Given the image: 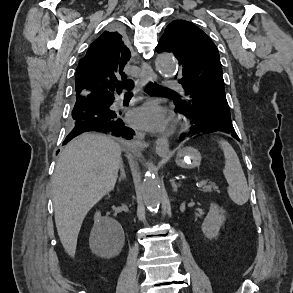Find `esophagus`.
Wrapping results in <instances>:
<instances>
[{
    "label": "esophagus",
    "mask_w": 293,
    "mask_h": 293,
    "mask_svg": "<svg viewBox=\"0 0 293 293\" xmlns=\"http://www.w3.org/2000/svg\"><path fill=\"white\" fill-rule=\"evenodd\" d=\"M157 76L154 73L152 67L147 63L142 61L141 63V75L140 83L142 86H145L148 81H156ZM136 138L140 141L144 139V134L137 132ZM156 152L160 156H166L169 154V145L168 141L165 138H158L156 141Z\"/></svg>",
    "instance_id": "1"
}]
</instances>
